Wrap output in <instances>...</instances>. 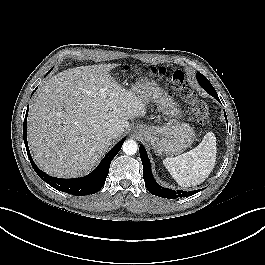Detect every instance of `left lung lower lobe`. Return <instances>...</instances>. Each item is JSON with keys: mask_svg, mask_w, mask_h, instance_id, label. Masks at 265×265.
I'll list each match as a JSON object with an SVG mask.
<instances>
[{"mask_svg": "<svg viewBox=\"0 0 265 265\" xmlns=\"http://www.w3.org/2000/svg\"><path fill=\"white\" fill-rule=\"evenodd\" d=\"M197 79H198L199 84L202 86V88L205 89L207 93H209L211 96H213L216 100L220 102V99L216 93V90L213 88L211 83L201 73L197 74ZM225 118H226V114H225ZM139 152H140V158L143 164V178L145 181V186L151 194L157 195L163 198L176 199L178 197L191 196L199 192L198 190L189 191V192L180 191V190L175 191V190L167 189V188L160 186L153 178L152 171H151V164L147 156L146 150L144 149L143 146L139 147Z\"/></svg>", "mask_w": 265, "mask_h": 265, "instance_id": "0a47b994", "label": "left lung lower lobe"}]
</instances>
